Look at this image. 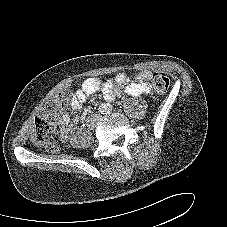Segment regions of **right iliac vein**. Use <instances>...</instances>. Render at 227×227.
<instances>
[{"label": "right iliac vein", "mask_w": 227, "mask_h": 227, "mask_svg": "<svg viewBox=\"0 0 227 227\" xmlns=\"http://www.w3.org/2000/svg\"><path fill=\"white\" fill-rule=\"evenodd\" d=\"M95 121H96L95 118H91V120H90V126H91V127H94Z\"/></svg>", "instance_id": "obj_1"}]
</instances>
